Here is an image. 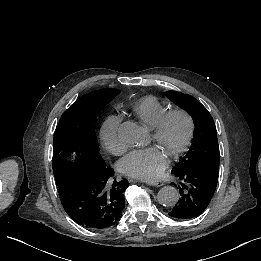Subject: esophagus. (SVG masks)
<instances>
[{
    "mask_svg": "<svg viewBox=\"0 0 261 261\" xmlns=\"http://www.w3.org/2000/svg\"><path fill=\"white\" fill-rule=\"evenodd\" d=\"M144 183L147 185L156 186V187L163 186V182L159 181V180H145Z\"/></svg>",
    "mask_w": 261,
    "mask_h": 261,
    "instance_id": "1",
    "label": "esophagus"
}]
</instances>
